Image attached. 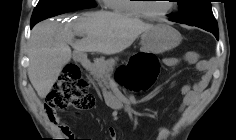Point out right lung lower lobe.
Here are the masks:
<instances>
[{
	"label": "right lung lower lobe",
	"instance_id": "98d812e1",
	"mask_svg": "<svg viewBox=\"0 0 236 140\" xmlns=\"http://www.w3.org/2000/svg\"><path fill=\"white\" fill-rule=\"evenodd\" d=\"M35 24L34 23H30V27L32 28Z\"/></svg>",
	"mask_w": 236,
	"mask_h": 140
}]
</instances>
